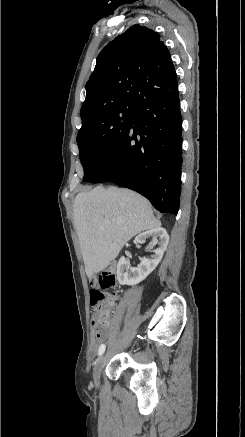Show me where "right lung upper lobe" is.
I'll return each instance as SVG.
<instances>
[{
    "label": "right lung upper lobe",
    "mask_w": 245,
    "mask_h": 437,
    "mask_svg": "<svg viewBox=\"0 0 245 437\" xmlns=\"http://www.w3.org/2000/svg\"><path fill=\"white\" fill-rule=\"evenodd\" d=\"M159 37L157 32L137 24L104 47L85 86L82 123L106 107L136 105L177 88L170 52Z\"/></svg>",
    "instance_id": "cb5924a9"
}]
</instances>
